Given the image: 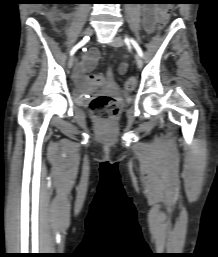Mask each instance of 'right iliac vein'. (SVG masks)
<instances>
[{
  "instance_id": "1",
  "label": "right iliac vein",
  "mask_w": 218,
  "mask_h": 257,
  "mask_svg": "<svg viewBox=\"0 0 218 257\" xmlns=\"http://www.w3.org/2000/svg\"><path fill=\"white\" fill-rule=\"evenodd\" d=\"M93 30L91 27H87L84 32H83V35L84 36H90L92 34ZM74 61H75V56L72 55L71 58L69 59V62H68V66L69 68H72L73 65H74Z\"/></svg>"
}]
</instances>
